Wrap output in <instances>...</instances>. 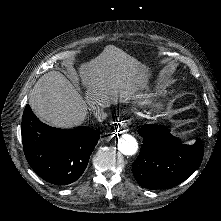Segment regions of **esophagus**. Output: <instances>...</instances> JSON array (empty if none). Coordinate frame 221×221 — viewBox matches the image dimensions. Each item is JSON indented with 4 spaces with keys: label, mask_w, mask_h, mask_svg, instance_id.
<instances>
[{
    "label": "esophagus",
    "mask_w": 221,
    "mask_h": 221,
    "mask_svg": "<svg viewBox=\"0 0 221 221\" xmlns=\"http://www.w3.org/2000/svg\"><path fill=\"white\" fill-rule=\"evenodd\" d=\"M119 127H120V131L122 132L128 131V125L125 121L120 122Z\"/></svg>",
    "instance_id": "obj_1"
}]
</instances>
